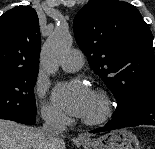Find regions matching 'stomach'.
Instances as JSON below:
<instances>
[{
  "label": "stomach",
  "mask_w": 155,
  "mask_h": 149,
  "mask_svg": "<svg viewBox=\"0 0 155 149\" xmlns=\"http://www.w3.org/2000/svg\"><path fill=\"white\" fill-rule=\"evenodd\" d=\"M82 145L84 149H141L137 137L127 129L111 131Z\"/></svg>",
  "instance_id": "1"
}]
</instances>
